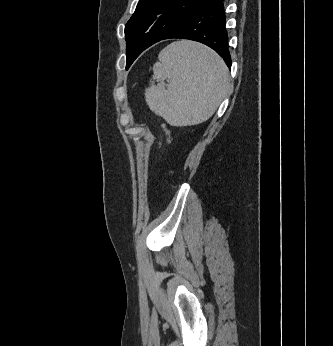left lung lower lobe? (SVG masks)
<instances>
[{
	"label": "left lung lower lobe",
	"mask_w": 333,
	"mask_h": 346,
	"mask_svg": "<svg viewBox=\"0 0 333 346\" xmlns=\"http://www.w3.org/2000/svg\"><path fill=\"white\" fill-rule=\"evenodd\" d=\"M223 0H207L161 40L171 38L201 42L214 49L231 67Z\"/></svg>",
	"instance_id": "left-lung-lower-lobe-1"
}]
</instances>
